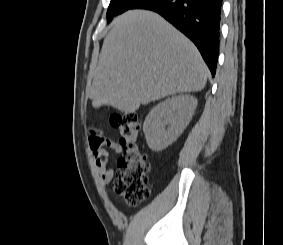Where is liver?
I'll list each match as a JSON object with an SVG mask.
<instances>
[{"instance_id":"liver-1","label":"liver","mask_w":283,"mask_h":245,"mask_svg":"<svg viewBox=\"0 0 283 245\" xmlns=\"http://www.w3.org/2000/svg\"><path fill=\"white\" fill-rule=\"evenodd\" d=\"M112 25L90 90L95 108L130 114L151 101L205 87L208 69L199 51L160 15L129 10Z\"/></svg>"}]
</instances>
